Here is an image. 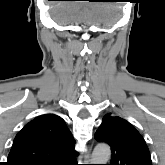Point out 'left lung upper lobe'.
Masks as SVG:
<instances>
[{
  "instance_id": "1",
  "label": "left lung upper lobe",
  "mask_w": 165,
  "mask_h": 165,
  "mask_svg": "<svg viewBox=\"0 0 165 165\" xmlns=\"http://www.w3.org/2000/svg\"><path fill=\"white\" fill-rule=\"evenodd\" d=\"M95 139L110 145V165H152L147 145L140 133L126 120L106 114Z\"/></svg>"
}]
</instances>
